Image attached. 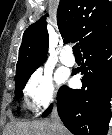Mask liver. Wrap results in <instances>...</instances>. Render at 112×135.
Segmentation results:
<instances>
[{
    "label": "liver",
    "mask_w": 112,
    "mask_h": 135,
    "mask_svg": "<svg viewBox=\"0 0 112 135\" xmlns=\"http://www.w3.org/2000/svg\"><path fill=\"white\" fill-rule=\"evenodd\" d=\"M6 135H55L50 120L34 122H16L9 124ZM60 135H70V132L62 125Z\"/></svg>",
    "instance_id": "obj_1"
}]
</instances>
